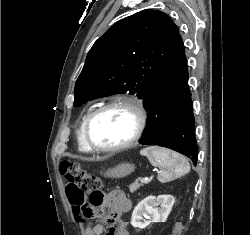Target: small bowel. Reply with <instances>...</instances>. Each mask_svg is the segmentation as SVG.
<instances>
[{"instance_id": "c3829d8e", "label": "small bowel", "mask_w": 250, "mask_h": 235, "mask_svg": "<svg viewBox=\"0 0 250 235\" xmlns=\"http://www.w3.org/2000/svg\"><path fill=\"white\" fill-rule=\"evenodd\" d=\"M74 218L77 222L85 220L95 214L88 203L80 206L71 204ZM131 209V200L121 190H112L108 194V202L101 207L104 222L87 224L84 235H130L128 226L119 217Z\"/></svg>"}]
</instances>
